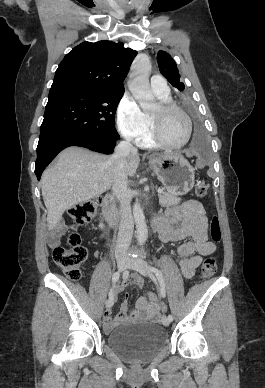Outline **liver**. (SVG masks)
Wrapping results in <instances>:
<instances>
[{
	"instance_id": "1",
	"label": "liver",
	"mask_w": 265,
	"mask_h": 388,
	"mask_svg": "<svg viewBox=\"0 0 265 388\" xmlns=\"http://www.w3.org/2000/svg\"><path fill=\"white\" fill-rule=\"evenodd\" d=\"M127 162L128 176H134L140 164L138 154L131 152ZM114 180L112 156H101L77 146L60 152L55 164L48 166L41 178L42 196L48 210V230H54L64 212L75 204L99 198L110 190Z\"/></svg>"
}]
</instances>
